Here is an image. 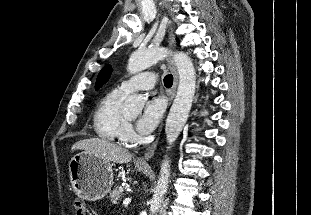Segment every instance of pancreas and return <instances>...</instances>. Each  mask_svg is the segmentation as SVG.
I'll return each mask as SVG.
<instances>
[{
    "mask_svg": "<svg viewBox=\"0 0 311 215\" xmlns=\"http://www.w3.org/2000/svg\"><path fill=\"white\" fill-rule=\"evenodd\" d=\"M123 196V190L121 186H116L109 195L110 200L113 204H116L117 201Z\"/></svg>",
    "mask_w": 311,
    "mask_h": 215,
    "instance_id": "obj_1",
    "label": "pancreas"
}]
</instances>
